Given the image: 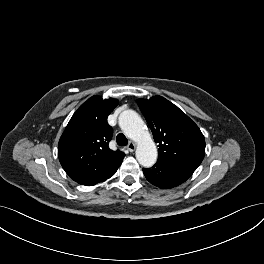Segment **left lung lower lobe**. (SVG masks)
<instances>
[{"label":"left lung lower lobe","instance_id":"obj_1","mask_svg":"<svg viewBox=\"0 0 264 264\" xmlns=\"http://www.w3.org/2000/svg\"><path fill=\"white\" fill-rule=\"evenodd\" d=\"M192 168L187 166L157 160L152 168H143L146 179L153 185L169 189L185 182L194 172Z\"/></svg>","mask_w":264,"mask_h":264}]
</instances>
